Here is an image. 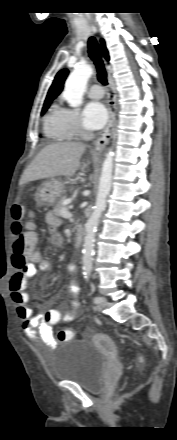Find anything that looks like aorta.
Here are the masks:
<instances>
[{
  "label": "aorta",
  "instance_id": "obj_1",
  "mask_svg": "<svg viewBox=\"0 0 177 440\" xmlns=\"http://www.w3.org/2000/svg\"><path fill=\"white\" fill-rule=\"evenodd\" d=\"M92 74L93 68L91 65L80 63L69 75L65 83L63 97L70 106L77 107L82 103L87 82ZM112 172L113 152L112 150H109L102 165L95 206L85 224V236L82 250V265L85 274H89L92 268L95 234L101 214L106 208L107 196L111 190Z\"/></svg>",
  "mask_w": 177,
  "mask_h": 440
}]
</instances>
